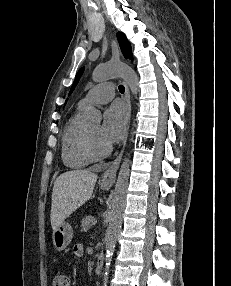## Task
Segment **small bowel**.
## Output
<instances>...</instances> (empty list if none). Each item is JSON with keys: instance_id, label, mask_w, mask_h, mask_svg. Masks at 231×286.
Masks as SVG:
<instances>
[{"instance_id": "1", "label": "small bowel", "mask_w": 231, "mask_h": 286, "mask_svg": "<svg viewBox=\"0 0 231 286\" xmlns=\"http://www.w3.org/2000/svg\"><path fill=\"white\" fill-rule=\"evenodd\" d=\"M72 252H73V255H74L75 257H82L83 254H84V247H83V245H81V244L75 245V246L73 247Z\"/></svg>"}]
</instances>
